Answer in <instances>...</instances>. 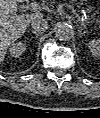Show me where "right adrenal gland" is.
Segmentation results:
<instances>
[{"instance_id": "obj_1", "label": "right adrenal gland", "mask_w": 100, "mask_h": 118, "mask_svg": "<svg viewBox=\"0 0 100 118\" xmlns=\"http://www.w3.org/2000/svg\"><path fill=\"white\" fill-rule=\"evenodd\" d=\"M31 32L34 34V35H36V38H38L40 35H42V33H40V32H36L35 30H31Z\"/></svg>"}]
</instances>
